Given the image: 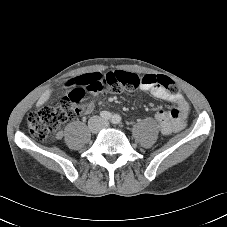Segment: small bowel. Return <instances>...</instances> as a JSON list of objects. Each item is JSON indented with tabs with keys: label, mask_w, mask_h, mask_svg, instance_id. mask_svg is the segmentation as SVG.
<instances>
[{
	"label": "small bowel",
	"mask_w": 227,
	"mask_h": 227,
	"mask_svg": "<svg viewBox=\"0 0 227 227\" xmlns=\"http://www.w3.org/2000/svg\"><path fill=\"white\" fill-rule=\"evenodd\" d=\"M107 75L103 70L88 71L76 75L74 78H64L61 86L64 89H82L86 93L101 94L110 89V84L106 81ZM141 90L149 92L153 97L175 105L170 111L159 110L155 114V119L159 124L160 131L164 135H169L181 131L186 125V117L189 112V104L180 93L172 94L160 85H141ZM94 103L88 102L83 114L92 111Z\"/></svg>",
	"instance_id": "obj_1"
}]
</instances>
